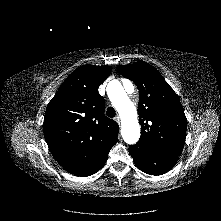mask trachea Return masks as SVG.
Instances as JSON below:
<instances>
[{
	"instance_id": "obj_1",
	"label": "trachea",
	"mask_w": 221,
	"mask_h": 221,
	"mask_svg": "<svg viewBox=\"0 0 221 221\" xmlns=\"http://www.w3.org/2000/svg\"><path fill=\"white\" fill-rule=\"evenodd\" d=\"M106 114H107V116L110 117V118H113V117L116 116V112H115V110H114L113 107H108V108H107V111H106Z\"/></svg>"
}]
</instances>
